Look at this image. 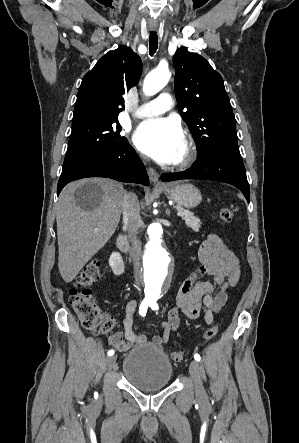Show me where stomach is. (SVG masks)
Segmentation results:
<instances>
[{
    "label": "stomach",
    "instance_id": "0dacf381",
    "mask_svg": "<svg viewBox=\"0 0 299 443\" xmlns=\"http://www.w3.org/2000/svg\"><path fill=\"white\" fill-rule=\"evenodd\" d=\"M161 190L170 200L185 208H194L202 200L200 191L192 184L169 183Z\"/></svg>",
    "mask_w": 299,
    "mask_h": 443
}]
</instances>
